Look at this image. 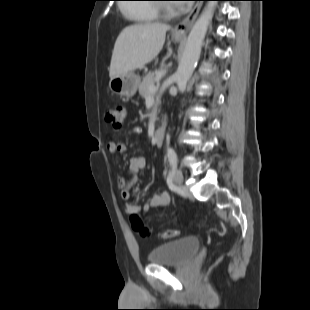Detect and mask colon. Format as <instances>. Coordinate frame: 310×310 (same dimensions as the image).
I'll use <instances>...</instances> for the list:
<instances>
[{
    "label": "colon",
    "instance_id": "5ec220e1",
    "mask_svg": "<svg viewBox=\"0 0 310 310\" xmlns=\"http://www.w3.org/2000/svg\"><path fill=\"white\" fill-rule=\"evenodd\" d=\"M126 117V108L124 105H117L113 108L107 109L105 112V120L115 129H119L123 126L124 120ZM132 226L133 228L143 237H148L151 235V232L144 227L141 219L133 215L132 217ZM179 235L177 230H164L156 234L159 238L169 239Z\"/></svg>",
    "mask_w": 310,
    "mask_h": 310
}]
</instances>
